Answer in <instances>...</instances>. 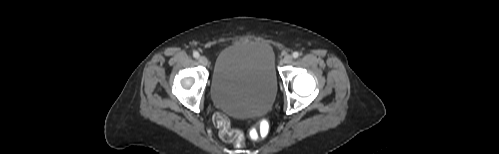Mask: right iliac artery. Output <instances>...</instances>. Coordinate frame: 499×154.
<instances>
[{
    "instance_id": "1",
    "label": "right iliac artery",
    "mask_w": 499,
    "mask_h": 154,
    "mask_svg": "<svg viewBox=\"0 0 499 154\" xmlns=\"http://www.w3.org/2000/svg\"><path fill=\"white\" fill-rule=\"evenodd\" d=\"M193 56H194L196 59H198L200 55H199V53H198L197 51H194V52H193Z\"/></svg>"
}]
</instances>
